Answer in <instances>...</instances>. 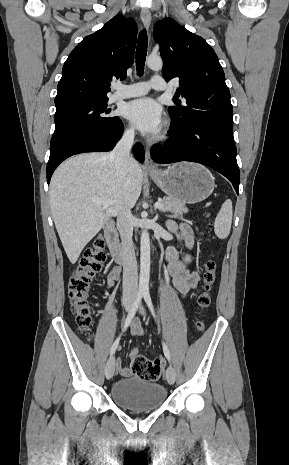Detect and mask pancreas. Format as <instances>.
Wrapping results in <instances>:
<instances>
[{"instance_id": "obj_1", "label": "pancreas", "mask_w": 289, "mask_h": 465, "mask_svg": "<svg viewBox=\"0 0 289 465\" xmlns=\"http://www.w3.org/2000/svg\"><path fill=\"white\" fill-rule=\"evenodd\" d=\"M163 212H171L174 216H182L188 212V208L184 203L171 197H164L162 200V207L159 208Z\"/></svg>"}]
</instances>
